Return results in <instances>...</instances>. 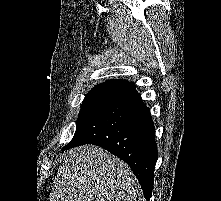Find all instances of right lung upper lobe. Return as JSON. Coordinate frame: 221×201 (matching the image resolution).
Masks as SVG:
<instances>
[{"label":"right lung upper lobe","mask_w":221,"mask_h":201,"mask_svg":"<svg viewBox=\"0 0 221 201\" xmlns=\"http://www.w3.org/2000/svg\"><path fill=\"white\" fill-rule=\"evenodd\" d=\"M129 83H130L129 81H125V80L112 79V80H108L104 83L98 84L94 88H113V89L119 90Z\"/></svg>","instance_id":"right-lung-upper-lobe-1"}]
</instances>
